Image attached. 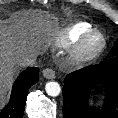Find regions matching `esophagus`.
<instances>
[{"instance_id": "34e87169", "label": "esophagus", "mask_w": 118, "mask_h": 118, "mask_svg": "<svg viewBox=\"0 0 118 118\" xmlns=\"http://www.w3.org/2000/svg\"><path fill=\"white\" fill-rule=\"evenodd\" d=\"M43 76L47 79H54L56 77L55 71L51 68L44 69Z\"/></svg>"}]
</instances>
